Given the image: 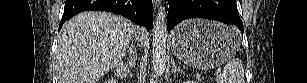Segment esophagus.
<instances>
[{
  "label": "esophagus",
  "mask_w": 307,
  "mask_h": 83,
  "mask_svg": "<svg viewBox=\"0 0 307 83\" xmlns=\"http://www.w3.org/2000/svg\"><path fill=\"white\" fill-rule=\"evenodd\" d=\"M160 1L159 0H153L154 9L156 10Z\"/></svg>",
  "instance_id": "obj_1"
}]
</instances>
